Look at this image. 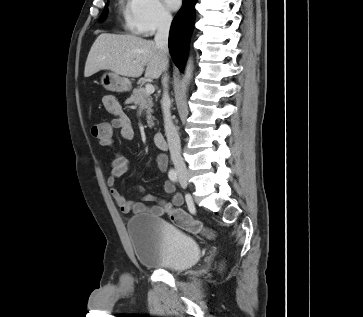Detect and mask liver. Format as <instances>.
Wrapping results in <instances>:
<instances>
[{"instance_id": "6515ba94", "label": "liver", "mask_w": 363, "mask_h": 317, "mask_svg": "<svg viewBox=\"0 0 363 317\" xmlns=\"http://www.w3.org/2000/svg\"><path fill=\"white\" fill-rule=\"evenodd\" d=\"M164 66V55L155 42L134 35L102 33L89 51L84 76L111 70L124 77L137 78L145 70V77L158 79Z\"/></svg>"}]
</instances>
